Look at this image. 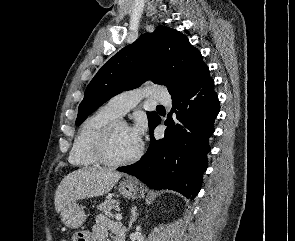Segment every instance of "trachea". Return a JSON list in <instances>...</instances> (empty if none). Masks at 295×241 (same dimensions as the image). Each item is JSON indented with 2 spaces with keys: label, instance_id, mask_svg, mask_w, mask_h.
I'll list each match as a JSON object with an SVG mask.
<instances>
[{
  "label": "trachea",
  "instance_id": "3493384b",
  "mask_svg": "<svg viewBox=\"0 0 295 241\" xmlns=\"http://www.w3.org/2000/svg\"><path fill=\"white\" fill-rule=\"evenodd\" d=\"M157 107H158V108H164L162 105H158Z\"/></svg>",
  "mask_w": 295,
  "mask_h": 241
}]
</instances>
